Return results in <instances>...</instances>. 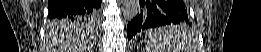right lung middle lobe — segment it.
Returning <instances> with one entry per match:
<instances>
[{"label": "right lung middle lobe", "mask_w": 261, "mask_h": 52, "mask_svg": "<svg viewBox=\"0 0 261 52\" xmlns=\"http://www.w3.org/2000/svg\"><path fill=\"white\" fill-rule=\"evenodd\" d=\"M97 18H89L86 16H73V17H64V18H54V20L51 22L53 24H60L64 26L73 25L74 23H88L94 25L96 24Z\"/></svg>", "instance_id": "right-lung-middle-lobe-1"}]
</instances>
